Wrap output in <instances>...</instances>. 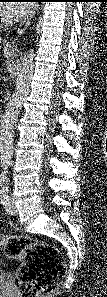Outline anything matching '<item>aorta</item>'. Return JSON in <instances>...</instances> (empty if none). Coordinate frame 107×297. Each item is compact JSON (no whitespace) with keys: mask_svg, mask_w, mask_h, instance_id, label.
<instances>
[{"mask_svg":"<svg viewBox=\"0 0 107 297\" xmlns=\"http://www.w3.org/2000/svg\"><path fill=\"white\" fill-rule=\"evenodd\" d=\"M33 56V49H29L24 54L17 72L15 91L7 103L3 115L0 127V161L4 166L9 164L13 154L15 125L17 123L24 99L30 90L34 70Z\"/></svg>","mask_w":107,"mask_h":297,"instance_id":"aorta-1","label":"aorta"}]
</instances>
